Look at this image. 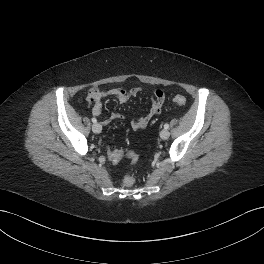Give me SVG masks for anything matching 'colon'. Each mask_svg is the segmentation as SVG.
Returning <instances> with one entry per match:
<instances>
[{
  "mask_svg": "<svg viewBox=\"0 0 264 264\" xmlns=\"http://www.w3.org/2000/svg\"><path fill=\"white\" fill-rule=\"evenodd\" d=\"M99 95V92L95 89H91L88 94H87V97L89 100H94L97 96ZM173 101L178 104V105H185L187 100L186 98L183 96V95H175L173 97ZM112 156L114 158H118V157H128L131 159V162L132 163H135L138 159V155L133 152V151H128V152H123L121 151V153L119 154H112ZM135 182V179H134V176L132 174H128L126 175V177L124 178V181H123V184L127 187H130L134 184Z\"/></svg>",
  "mask_w": 264,
  "mask_h": 264,
  "instance_id": "5ec220e1",
  "label": "colon"
}]
</instances>
